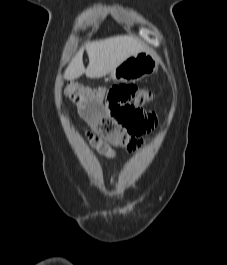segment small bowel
<instances>
[{
	"instance_id": "1",
	"label": "small bowel",
	"mask_w": 227,
	"mask_h": 265,
	"mask_svg": "<svg viewBox=\"0 0 227 265\" xmlns=\"http://www.w3.org/2000/svg\"><path fill=\"white\" fill-rule=\"evenodd\" d=\"M77 108L80 117L88 125L86 131L88 141L101 155L115 158L117 148L133 152L143 145L140 136L129 134L123 126L108 114L103 106L102 99L93 102H85L84 99H79Z\"/></svg>"
}]
</instances>
